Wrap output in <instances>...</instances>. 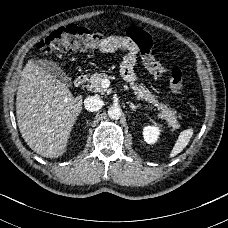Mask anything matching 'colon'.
Wrapping results in <instances>:
<instances>
[{
  "label": "colon",
  "instance_id": "colon-1",
  "mask_svg": "<svg viewBox=\"0 0 228 228\" xmlns=\"http://www.w3.org/2000/svg\"><path fill=\"white\" fill-rule=\"evenodd\" d=\"M106 38H114L91 31L87 28L68 25L61 27L47 37L39 41L35 47L38 56H49L55 51L61 50H93L104 44ZM170 88L172 92L180 96L184 91L183 71L175 68L170 72Z\"/></svg>",
  "mask_w": 228,
  "mask_h": 228
}]
</instances>
